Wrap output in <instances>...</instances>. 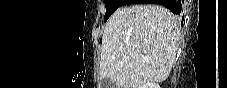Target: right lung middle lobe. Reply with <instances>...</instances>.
Segmentation results:
<instances>
[{
	"instance_id": "right-lung-middle-lobe-1",
	"label": "right lung middle lobe",
	"mask_w": 227,
	"mask_h": 88,
	"mask_svg": "<svg viewBox=\"0 0 227 88\" xmlns=\"http://www.w3.org/2000/svg\"><path fill=\"white\" fill-rule=\"evenodd\" d=\"M130 0H105L106 13L104 17V21L113 14V12L118 9L120 6L130 4Z\"/></svg>"
}]
</instances>
